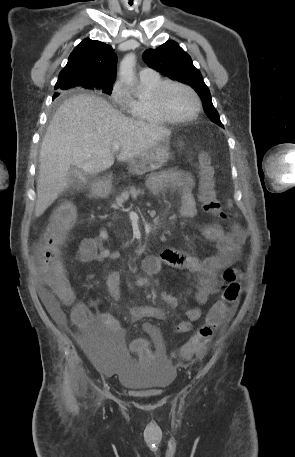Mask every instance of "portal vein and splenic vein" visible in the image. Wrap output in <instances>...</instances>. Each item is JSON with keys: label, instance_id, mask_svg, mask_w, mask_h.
<instances>
[{"label": "portal vein and splenic vein", "instance_id": "obj_1", "mask_svg": "<svg viewBox=\"0 0 295 457\" xmlns=\"http://www.w3.org/2000/svg\"><path fill=\"white\" fill-rule=\"evenodd\" d=\"M120 149V145L117 142H114L112 145V150L113 151H118Z\"/></svg>", "mask_w": 295, "mask_h": 457}]
</instances>
